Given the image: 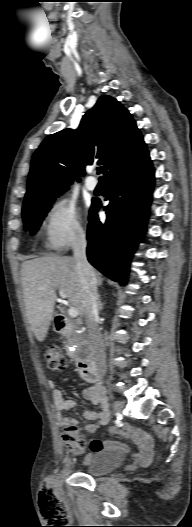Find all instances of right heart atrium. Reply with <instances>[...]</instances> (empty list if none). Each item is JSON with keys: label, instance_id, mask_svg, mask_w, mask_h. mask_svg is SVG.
I'll return each instance as SVG.
<instances>
[{"label": "right heart atrium", "instance_id": "d8ad5b80", "mask_svg": "<svg viewBox=\"0 0 192 527\" xmlns=\"http://www.w3.org/2000/svg\"><path fill=\"white\" fill-rule=\"evenodd\" d=\"M46 245L55 251L80 240L85 230L77 208L66 199L52 202L44 215Z\"/></svg>", "mask_w": 192, "mask_h": 527}]
</instances>
